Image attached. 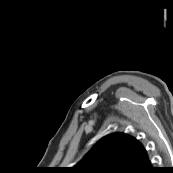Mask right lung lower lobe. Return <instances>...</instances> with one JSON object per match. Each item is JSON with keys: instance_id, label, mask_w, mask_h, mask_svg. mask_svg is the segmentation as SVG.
I'll return each instance as SVG.
<instances>
[{"instance_id": "right-lung-lower-lobe-1", "label": "right lung lower lobe", "mask_w": 173, "mask_h": 173, "mask_svg": "<svg viewBox=\"0 0 173 173\" xmlns=\"http://www.w3.org/2000/svg\"><path fill=\"white\" fill-rule=\"evenodd\" d=\"M156 170L151 167L148 158H145L133 165L126 173H155Z\"/></svg>"}]
</instances>
